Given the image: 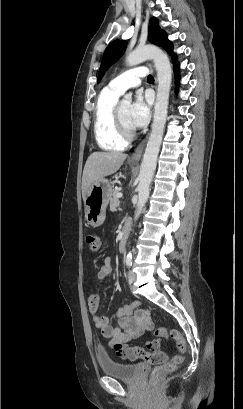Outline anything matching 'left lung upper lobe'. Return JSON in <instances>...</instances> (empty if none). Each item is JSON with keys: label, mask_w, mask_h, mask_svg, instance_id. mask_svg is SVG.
Segmentation results:
<instances>
[{"label": "left lung upper lobe", "mask_w": 243, "mask_h": 409, "mask_svg": "<svg viewBox=\"0 0 243 409\" xmlns=\"http://www.w3.org/2000/svg\"><path fill=\"white\" fill-rule=\"evenodd\" d=\"M149 40L158 46H162L170 55H173L172 43L167 39L166 33L161 30L158 20L154 17L150 20ZM125 49L126 41L121 40H115L107 46L99 69L98 82H100L105 71L123 55Z\"/></svg>", "instance_id": "1"}]
</instances>
